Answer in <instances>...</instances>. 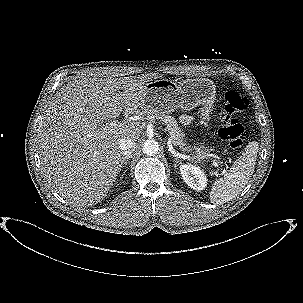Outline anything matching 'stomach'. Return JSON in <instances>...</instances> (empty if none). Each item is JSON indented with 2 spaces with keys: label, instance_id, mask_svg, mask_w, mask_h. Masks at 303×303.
Here are the masks:
<instances>
[{
  "label": "stomach",
  "instance_id": "obj_1",
  "mask_svg": "<svg viewBox=\"0 0 303 303\" xmlns=\"http://www.w3.org/2000/svg\"><path fill=\"white\" fill-rule=\"evenodd\" d=\"M215 95V85L206 78L187 79L181 82L157 79L145 85L143 106L147 112L168 114L178 108L190 111L202 105L200 123L208 126ZM212 151V148L199 146L190 152L194 160L201 162L211 157Z\"/></svg>",
  "mask_w": 303,
  "mask_h": 303
}]
</instances>
